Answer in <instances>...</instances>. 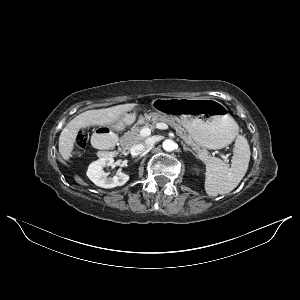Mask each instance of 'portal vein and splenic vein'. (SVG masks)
Listing matches in <instances>:
<instances>
[{"label":"portal vein and splenic vein","mask_w":300,"mask_h":300,"mask_svg":"<svg viewBox=\"0 0 300 300\" xmlns=\"http://www.w3.org/2000/svg\"><path fill=\"white\" fill-rule=\"evenodd\" d=\"M156 128L162 129V130H166V129H168V125L165 124V123L159 122V123L156 124ZM140 134H141L143 137H148V136L151 135V129L148 128V127H144V128L141 130Z\"/></svg>","instance_id":"portal-vein-and-splenic-vein-1"}]
</instances>
